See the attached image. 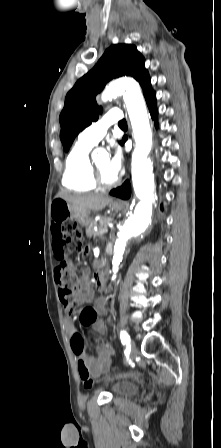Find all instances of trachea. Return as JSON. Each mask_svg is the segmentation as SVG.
<instances>
[{
    "mask_svg": "<svg viewBox=\"0 0 221 448\" xmlns=\"http://www.w3.org/2000/svg\"><path fill=\"white\" fill-rule=\"evenodd\" d=\"M118 125H119L120 127H125V126H127V122H126L125 119H123L122 121H120V122L118 123Z\"/></svg>",
    "mask_w": 221,
    "mask_h": 448,
    "instance_id": "3493384b",
    "label": "trachea"
}]
</instances>
